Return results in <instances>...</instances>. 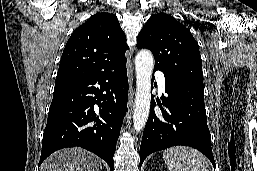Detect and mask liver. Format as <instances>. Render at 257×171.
I'll list each match as a JSON object with an SVG mask.
<instances>
[{
    "label": "liver",
    "mask_w": 257,
    "mask_h": 171,
    "mask_svg": "<svg viewBox=\"0 0 257 171\" xmlns=\"http://www.w3.org/2000/svg\"><path fill=\"white\" fill-rule=\"evenodd\" d=\"M101 160L82 148L62 149L49 156L41 171H101Z\"/></svg>",
    "instance_id": "1"
}]
</instances>
